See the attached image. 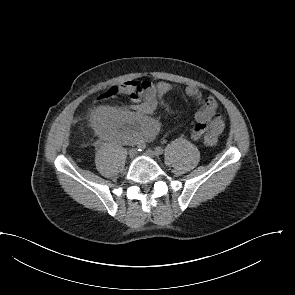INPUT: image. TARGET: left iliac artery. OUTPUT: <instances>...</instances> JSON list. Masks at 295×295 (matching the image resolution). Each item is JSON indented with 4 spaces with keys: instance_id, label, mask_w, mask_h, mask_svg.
Returning a JSON list of instances; mask_svg holds the SVG:
<instances>
[{
    "instance_id": "1",
    "label": "left iliac artery",
    "mask_w": 295,
    "mask_h": 295,
    "mask_svg": "<svg viewBox=\"0 0 295 295\" xmlns=\"http://www.w3.org/2000/svg\"><path fill=\"white\" fill-rule=\"evenodd\" d=\"M155 152L157 155H161L163 154V148L158 146L155 148Z\"/></svg>"
}]
</instances>
